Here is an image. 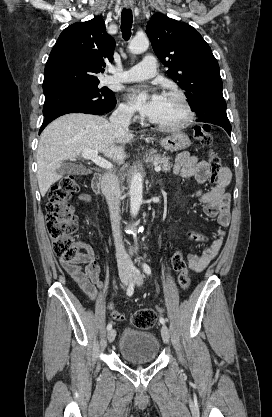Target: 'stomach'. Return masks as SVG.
I'll return each mask as SVG.
<instances>
[{"label": "stomach", "mask_w": 272, "mask_h": 417, "mask_svg": "<svg viewBox=\"0 0 272 417\" xmlns=\"http://www.w3.org/2000/svg\"><path fill=\"white\" fill-rule=\"evenodd\" d=\"M160 145L167 151H181L188 148L191 145V141L186 134L175 131L161 138Z\"/></svg>", "instance_id": "obj_1"}]
</instances>
